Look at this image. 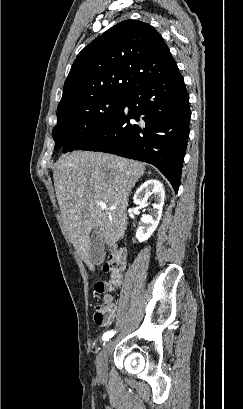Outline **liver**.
<instances>
[{
  "label": "liver",
  "mask_w": 243,
  "mask_h": 409,
  "mask_svg": "<svg viewBox=\"0 0 243 409\" xmlns=\"http://www.w3.org/2000/svg\"><path fill=\"white\" fill-rule=\"evenodd\" d=\"M144 164L111 154L76 151L62 155L53 180L68 236L91 270L90 233L94 229L106 244L125 235L128 196L144 174ZM102 201L107 209L102 210Z\"/></svg>",
  "instance_id": "liver-1"
}]
</instances>
